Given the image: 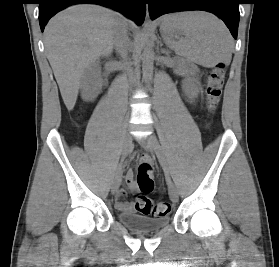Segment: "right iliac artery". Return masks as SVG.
I'll return each mask as SVG.
<instances>
[{"label":"right iliac artery","mask_w":279,"mask_h":267,"mask_svg":"<svg viewBox=\"0 0 279 267\" xmlns=\"http://www.w3.org/2000/svg\"><path fill=\"white\" fill-rule=\"evenodd\" d=\"M125 157H126V155L122 157V159H121V161H120V163H119V165H118V172H121L122 167H124V164H125V162H126V161H125Z\"/></svg>","instance_id":"right-iliac-artery-1"}]
</instances>
